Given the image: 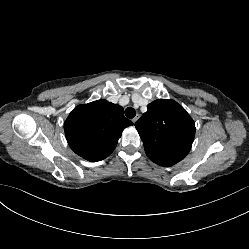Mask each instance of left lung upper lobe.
<instances>
[{"label": "left lung upper lobe", "mask_w": 249, "mask_h": 249, "mask_svg": "<svg viewBox=\"0 0 249 249\" xmlns=\"http://www.w3.org/2000/svg\"><path fill=\"white\" fill-rule=\"evenodd\" d=\"M135 123L147 156L161 166H172L189 153L195 123L187 111L173 100L158 99Z\"/></svg>", "instance_id": "5c2ea615"}]
</instances>
